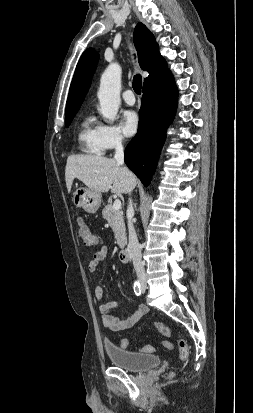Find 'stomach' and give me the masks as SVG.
Instances as JSON below:
<instances>
[{"label":"stomach","mask_w":253,"mask_h":413,"mask_svg":"<svg viewBox=\"0 0 253 413\" xmlns=\"http://www.w3.org/2000/svg\"><path fill=\"white\" fill-rule=\"evenodd\" d=\"M100 192L89 188H78L73 194V203L76 207H82L88 213H95L101 205Z\"/></svg>","instance_id":"stomach-1"}]
</instances>
